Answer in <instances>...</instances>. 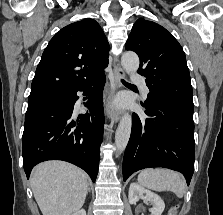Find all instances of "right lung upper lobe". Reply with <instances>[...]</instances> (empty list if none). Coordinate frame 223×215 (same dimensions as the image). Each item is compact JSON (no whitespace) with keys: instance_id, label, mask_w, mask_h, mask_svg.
Returning <instances> with one entry per match:
<instances>
[{"instance_id":"obj_1","label":"right lung upper lobe","mask_w":223,"mask_h":215,"mask_svg":"<svg viewBox=\"0 0 223 215\" xmlns=\"http://www.w3.org/2000/svg\"><path fill=\"white\" fill-rule=\"evenodd\" d=\"M108 56V41L95 20L69 24L53 36L44 50L30 95L71 94L103 73Z\"/></svg>"}]
</instances>
